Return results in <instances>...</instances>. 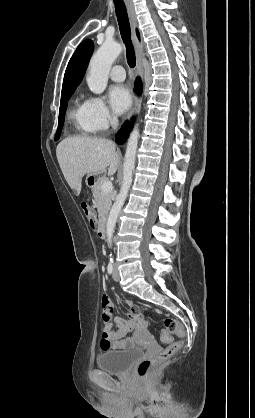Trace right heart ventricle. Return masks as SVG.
I'll return each instance as SVG.
<instances>
[{
  "mask_svg": "<svg viewBox=\"0 0 255 418\" xmlns=\"http://www.w3.org/2000/svg\"><path fill=\"white\" fill-rule=\"evenodd\" d=\"M68 117L76 132L80 134L93 132L87 120L86 101L76 99L69 110Z\"/></svg>",
  "mask_w": 255,
  "mask_h": 418,
  "instance_id": "obj_1",
  "label": "right heart ventricle"
}]
</instances>
